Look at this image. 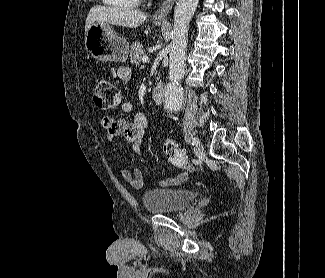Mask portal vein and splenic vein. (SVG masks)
<instances>
[{"label":"portal vein and splenic vein","mask_w":325,"mask_h":278,"mask_svg":"<svg viewBox=\"0 0 325 278\" xmlns=\"http://www.w3.org/2000/svg\"><path fill=\"white\" fill-rule=\"evenodd\" d=\"M147 61H148V56L144 55V56L142 57V62H143V63H146Z\"/></svg>","instance_id":"1"}]
</instances>
